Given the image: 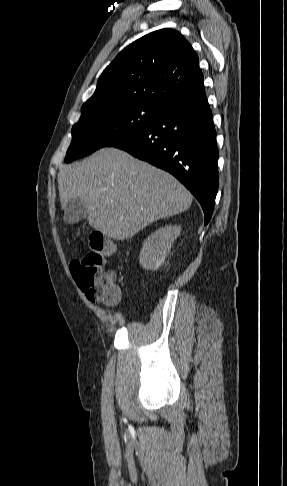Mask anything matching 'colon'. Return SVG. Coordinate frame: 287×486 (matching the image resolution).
Listing matches in <instances>:
<instances>
[{"label": "colon", "instance_id": "colon-1", "mask_svg": "<svg viewBox=\"0 0 287 486\" xmlns=\"http://www.w3.org/2000/svg\"><path fill=\"white\" fill-rule=\"evenodd\" d=\"M90 252L71 263L72 276L86 297L105 305H115L121 299V291L114 277L105 271V256L115 249L113 241L101 232L94 231L89 237Z\"/></svg>", "mask_w": 287, "mask_h": 486}]
</instances>
